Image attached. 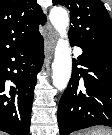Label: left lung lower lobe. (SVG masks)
Listing matches in <instances>:
<instances>
[{
  "instance_id": "left-lung-lower-lobe-1",
  "label": "left lung lower lobe",
  "mask_w": 112,
  "mask_h": 135,
  "mask_svg": "<svg viewBox=\"0 0 112 135\" xmlns=\"http://www.w3.org/2000/svg\"><path fill=\"white\" fill-rule=\"evenodd\" d=\"M71 44L83 53L59 103L60 135L95 125L112 127V52Z\"/></svg>"
}]
</instances>
